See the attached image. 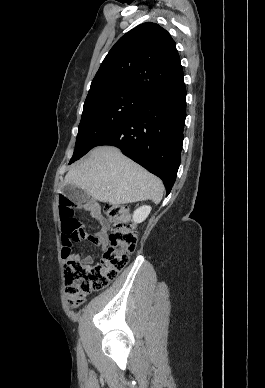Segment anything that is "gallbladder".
I'll list each match as a JSON object with an SVG mask.
<instances>
[{
	"label": "gallbladder",
	"mask_w": 265,
	"mask_h": 388,
	"mask_svg": "<svg viewBox=\"0 0 265 388\" xmlns=\"http://www.w3.org/2000/svg\"><path fill=\"white\" fill-rule=\"evenodd\" d=\"M62 194H64V196H66L70 202L76 204V206L85 204V202H88L90 198L89 194H86L82 188H77V186H74V184H68V186H64Z\"/></svg>",
	"instance_id": "bac80fb5"
}]
</instances>
